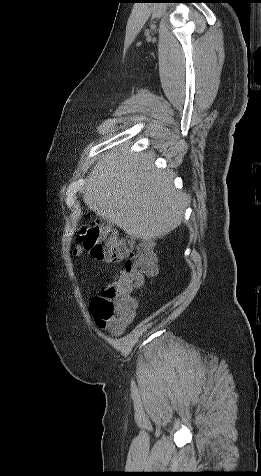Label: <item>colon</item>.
Here are the masks:
<instances>
[{
	"mask_svg": "<svg viewBox=\"0 0 261 476\" xmlns=\"http://www.w3.org/2000/svg\"><path fill=\"white\" fill-rule=\"evenodd\" d=\"M78 242L91 256L107 262L125 261L124 268L105 284L91 303L96 323L120 333L134 319L136 291L146 286L147 279L157 274L158 265L151 241L133 245L123 239L104 221L85 226Z\"/></svg>",
	"mask_w": 261,
	"mask_h": 476,
	"instance_id": "colon-1",
	"label": "colon"
}]
</instances>
